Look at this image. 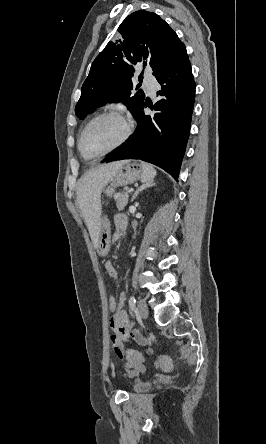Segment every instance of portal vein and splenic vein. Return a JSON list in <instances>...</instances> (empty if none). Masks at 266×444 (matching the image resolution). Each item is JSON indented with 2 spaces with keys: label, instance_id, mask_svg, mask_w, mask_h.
Listing matches in <instances>:
<instances>
[{
  "label": "portal vein and splenic vein",
  "instance_id": "18ae733b",
  "mask_svg": "<svg viewBox=\"0 0 266 444\" xmlns=\"http://www.w3.org/2000/svg\"><path fill=\"white\" fill-rule=\"evenodd\" d=\"M133 191V189H129L128 191H127V193H131Z\"/></svg>",
  "mask_w": 266,
  "mask_h": 444
}]
</instances>
